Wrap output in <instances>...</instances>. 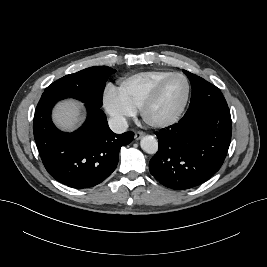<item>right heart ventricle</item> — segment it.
Instances as JSON below:
<instances>
[{
	"label": "right heart ventricle",
	"instance_id": "obj_1",
	"mask_svg": "<svg viewBox=\"0 0 267 267\" xmlns=\"http://www.w3.org/2000/svg\"><path fill=\"white\" fill-rule=\"evenodd\" d=\"M171 73L170 71H146L136 73L121 79L118 82L116 91L129 107L137 111L158 82Z\"/></svg>",
	"mask_w": 267,
	"mask_h": 267
}]
</instances>
